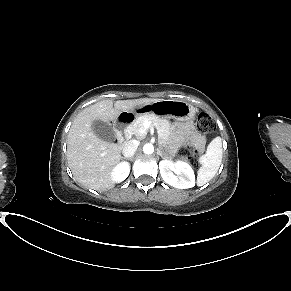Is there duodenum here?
<instances>
[{
  "mask_svg": "<svg viewBox=\"0 0 291 291\" xmlns=\"http://www.w3.org/2000/svg\"><path fill=\"white\" fill-rule=\"evenodd\" d=\"M140 113L138 109L127 114L117 125L118 137L121 142H126L129 139L130 133L128 127L134 122L135 114Z\"/></svg>",
  "mask_w": 291,
  "mask_h": 291,
  "instance_id": "obj_1",
  "label": "duodenum"
}]
</instances>
